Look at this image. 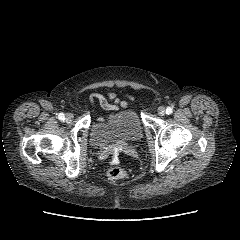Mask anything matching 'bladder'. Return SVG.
Listing matches in <instances>:
<instances>
[{
  "label": "bladder",
  "mask_w": 240,
  "mask_h": 240,
  "mask_svg": "<svg viewBox=\"0 0 240 240\" xmlns=\"http://www.w3.org/2000/svg\"><path fill=\"white\" fill-rule=\"evenodd\" d=\"M143 138V126L138 114L123 109L94 122L90 131V143L103 149L112 145H135Z\"/></svg>",
  "instance_id": "obj_1"
}]
</instances>
